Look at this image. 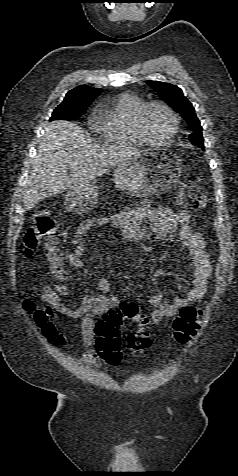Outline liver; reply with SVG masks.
Segmentation results:
<instances>
[{
    "mask_svg": "<svg viewBox=\"0 0 238 476\" xmlns=\"http://www.w3.org/2000/svg\"><path fill=\"white\" fill-rule=\"evenodd\" d=\"M138 152L135 146L95 144L73 122H51L45 128L25 187V210H32L47 197L95 180ZM68 169L72 170L70 175Z\"/></svg>",
    "mask_w": 238,
    "mask_h": 476,
    "instance_id": "obj_1",
    "label": "liver"
}]
</instances>
